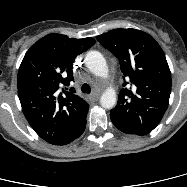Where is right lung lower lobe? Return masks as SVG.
<instances>
[{
  "label": "right lung lower lobe",
  "mask_w": 187,
  "mask_h": 187,
  "mask_svg": "<svg viewBox=\"0 0 187 187\" xmlns=\"http://www.w3.org/2000/svg\"><path fill=\"white\" fill-rule=\"evenodd\" d=\"M85 125H86V122H84V124L79 129V131L66 144H68V143L72 142L73 140L77 139L84 132Z\"/></svg>",
  "instance_id": "1"
}]
</instances>
